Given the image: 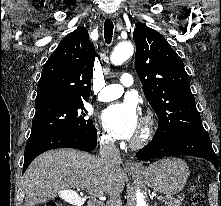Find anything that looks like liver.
Segmentation results:
<instances>
[{"instance_id": "obj_1", "label": "liver", "mask_w": 221, "mask_h": 206, "mask_svg": "<svg viewBox=\"0 0 221 206\" xmlns=\"http://www.w3.org/2000/svg\"><path fill=\"white\" fill-rule=\"evenodd\" d=\"M126 175L119 164L109 165L99 157L74 149L52 150L37 157L23 178L24 206H35L71 188L119 195Z\"/></svg>"}]
</instances>
